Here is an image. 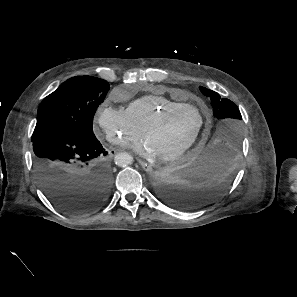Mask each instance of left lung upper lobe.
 I'll return each instance as SVG.
<instances>
[{
	"instance_id": "1",
	"label": "left lung upper lobe",
	"mask_w": 297,
	"mask_h": 297,
	"mask_svg": "<svg viewBox=\"0 0 297 297\" xmlns=\"http://www.w3.org/2000/svg\"><path fill=\"white\" fill-rule=\"evenodd\" d=\"M200 91L211 99L213 113L217 119L208 143H216L223 149L238 152L241 143V119L237 106L210 89L199 87Z\"/></svg>"
}]
</instances>
